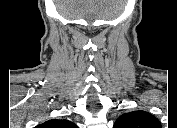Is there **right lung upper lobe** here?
<instances>
[{
  "mask_svg": "<svg viewBox=\"0 0 177 128\" xmlns=\"http://www.w3.org/2000/svg\"><path fill=\"white\" fill-rule=\"evenodd\" d=\"M38 128H77V126L69 120H49L37 126Z\"/></svg>",
  "mask_w": 177,
  "mask_h": 128,
  "instance_id": "obj_1",
  "label": "right lung upper lobe"
}]
</instances>
